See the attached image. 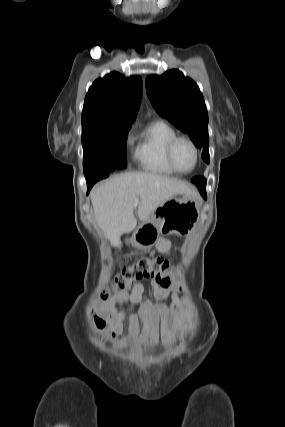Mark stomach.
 I'll return each instance as SVG.
<instances>
[{
  "instance_id": "0dacf381",
  "label": "stomach",
  "mask_w": 285,
  "mask_h": 427,
  "mask_svg": "<svg viewBox=\"0 0 285 427\" xmlns=\"http://www.w3.org/2000/svg\"><path fill=\"white\" fill-rule=\"evenodd\" d=\"M201 206L194 196L182 194L159 206L133 233L131 242L139 248L151 247L161 234H187L200 218Z\"/></svg>"
}]
</instances>
